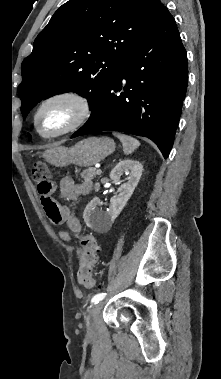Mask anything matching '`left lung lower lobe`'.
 Wrapping results in <instances>:
<instances>
[{
	"label": "left lung lower lobe",
	"mask_w": 221,
	"mask_h": 379,
	"mask_svg": "<svg viewBox=\"0 0 221 379\" xmlns=\"http://www.w3.org/2000/svg\"><path fill=\"white\" fill-rule=\"evenodd\" d=\"M187 83L186 50L164 7L153 29L105 83L89 120L71 138L105 130L126 132L151 139L167 158Z\"/></svg>",
	"instance_id": "0a47b994"
}]
</instances>
